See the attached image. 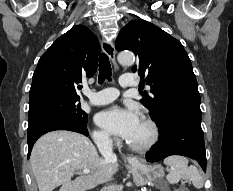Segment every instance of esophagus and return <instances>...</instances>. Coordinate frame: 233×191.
<instances>
[{"instance_id": "esophagus-1", "label": "esophagus", "mask_w": 233, "mask_h": 191, "mask_svg": "<svg viewBox=\"0 0 233 191\" xmlns=\"http://www.w3.org/2000/svg\"><path fill=\"white\" fill-rule=\"evenodd\" d=\"M101 47H102L103 52L109 57L112 65H113L114 70L118 71L119 66L116 62V57H115L116 53H115V48H114L113 43L108 39H103L101 42ZM127 160H128V162H136L137 161V159L134 157H128Z\"/></svg>"}]
</instances>
